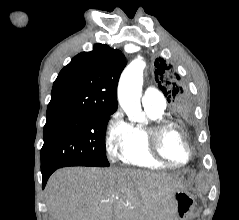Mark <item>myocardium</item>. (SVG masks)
I'll return each mask as SVG.
<instances>
[{
  "label": "myocardium",
  "mask_w": 239,
  "mask_h": 220,
  "mask_svg": "<svg viewBox=\"0 0 239 220\" xmlns=\"http://www.w3.org/2000/svg\"><path fill=\"white\" fill-rule=\"evenodd\" d=\"M169 130L177 131L185 144L187 158L183 162H177L170 159L165 155L162 149L163 137ZM145 132L147 135L149 151L155 158L172 166H184L190 162L192 158L191 144L186 131L178 123L165 119L150 120L145 125Z\"/></svg>",
  "instance_id": "1"
}]
</instances>
